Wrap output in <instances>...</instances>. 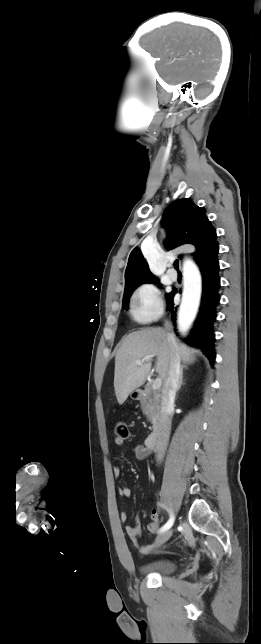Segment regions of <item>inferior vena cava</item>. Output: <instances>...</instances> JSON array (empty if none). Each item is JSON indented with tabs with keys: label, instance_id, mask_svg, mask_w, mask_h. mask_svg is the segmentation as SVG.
<instances>
[{
	"label": "inferior vena cava",
	"instance_id": "obj_1",
	"mask_svg": "<svg viewBox=\"0 0 261 644\" xmlns=\"http://www.w3.org/2000/svg\"><path fill=\"white\" fill-rule=\"evenodd\" d=\"M169 326L168 323H166ZM169 339L175 344L173 334L169 333ZM181 366L180 356L175 352L170 359V365L167 378L164 381L161 396V410L160 419L158 423L157 439H156V458L161 461L166 452L170 432H171V412L174 408L175 395L180 379Z\"/></svg>",
	"mask_w": 261,
	"mask_h": 644
}]
</instances>
